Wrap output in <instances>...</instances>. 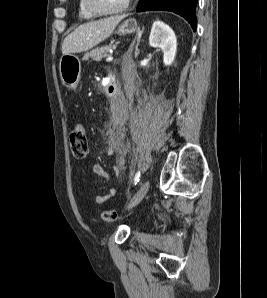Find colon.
I'll return each mask as SVG.
<instances>
[{
    "label": "colon",
    "mask_w": 267,
    "mask_h": 298,
    "mask_svg": "<svg viewBox=\"0 0 267 298\" xmlns=\"http://www.w3.org/2000/svg\"><path fill=\"white\" fill-rule=\"evenodd\" d=\"M69 144L72 154L77 159H83L88 155L89 147L87 140V131L84 124H78L70 132ZM119 218L115 210H107L102 213V219L107 222H114Z\"/></svg>",
    "instance_id": "obj_1"
}]
</instances>
